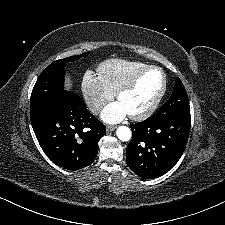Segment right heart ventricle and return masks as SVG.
<instances>
[{
    "label": "right heart ventricle",
    "instance_id": "e07e8e85",
    "mask_svg": "<svg viewBox=\"0 0 225 225\" xmlns=\"http://www.w3.org/2000/svg\"><path fill=\"white\" fill-rule=\"evenodd\" d=\"M146 66L140 61L113 58L102 62L98 66V72L105 86L115 94Z\"/></svg>",
    "mask_w": 225,
    "mask_h": 225
}]
</instances>
